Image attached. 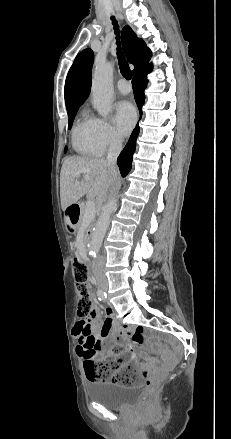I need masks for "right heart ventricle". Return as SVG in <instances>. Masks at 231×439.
I'll list each match as a JSON object with an SVG mask.
<instances>
[{"label":"right heart ventricle","mask_w":231,"mask_h":439,"mask_svg":"<svg viewBox=\"0 0 231 439\" xmlns=\"http://www.w3.org/2000/svg\"><path fill=\"white\" fill-rule=\"evenodd\" d=\"M91 117L82 112L72 130V145L75 151L81 155L97 156L101 152L92 139Z\"/></svg>","instance_id":"obj_1"}]
</instances>
